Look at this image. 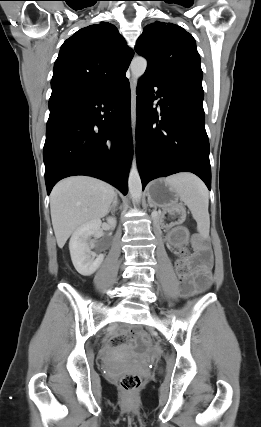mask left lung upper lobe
I'll use <instances>...</instances> for the list:
<instances>
[{
	"instance_id": "5c2ea615",
	"label": "left lung upper lobe",
	"mask_w": 261,
	"mask_h": 427,
	"mask_svg": "<svg viewBox=\"0 0 261 427\" xmlns=\"http://www.w3.org/2000/svg\"><path fill=\"white\" fill-rule=\"evenodd\" d=\"M135 51L148 62L143 76L203 90L195 39L182 27L159 21L146 26L137 40Z\"/></svg>"
}]
</instances>
